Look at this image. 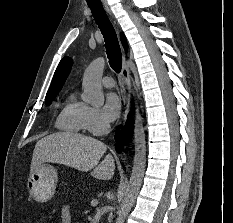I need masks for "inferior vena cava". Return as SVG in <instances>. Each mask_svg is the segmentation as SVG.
<instances>
[{
  "instance_id": "1",
  "label": "inferior vena cava",
  "mask_w": 233,
  "mask_h": 223,
  "mask_svg": "<svg viewBox=\"0 0 233 223\" xmlns=\"http://www.w3.org/2000/svg\"><path fill=\"white\" fill-rule=\"evenodd\" d=\"M101 131L103 135H107V133H110L111 127L110 121H108V119H101Z\"/></svg>"
}]
</instances>
